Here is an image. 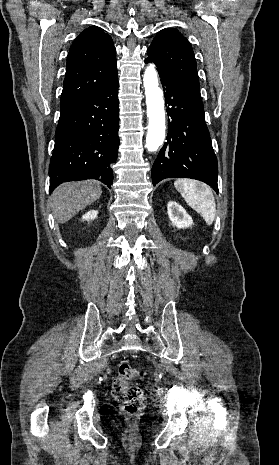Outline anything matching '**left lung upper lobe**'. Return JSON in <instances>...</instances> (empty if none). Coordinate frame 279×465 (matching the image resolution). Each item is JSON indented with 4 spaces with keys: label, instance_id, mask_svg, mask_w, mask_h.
<instances>
[{
    "label": "left lung upper lobe",
    "instance_id": "obj_1",
    "mask_svg": "<svg viewBox=\"0 0 279 465\" xmlns=\"http://www.w3.org/2000/svg\"><path fill=\"white\" fill-rule=\"evenodd\" d=\"M158 71L200 94L197 64L190 42L176 29L161 30L147 50Z\"/></svg>",
    "mask_w": 279,
    "mask_h": 465
}]
</instances>
